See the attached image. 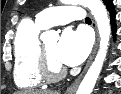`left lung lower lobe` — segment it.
Masks as SVG:
<instances>
[{
	"mask_svg": "<svg viewBox=\"0 0 121 94\" xmlns=\"http://www.w3.org/2000/svg\"><path fill=\"white\" fill-rule=\"evenodd\" d=\"M105 5L107 7V10L110 13V21H111L112 29H113V32H114V35H115V29H116L115 16H116V13H115V10H114V6H113L112 2H109Z\"/></svg>",
	"mask_w": 121,
	"mask_h": 94,
	"instance_id": "0a47b994",
	"label": "left lung lower lobe"
}]
</instances>
